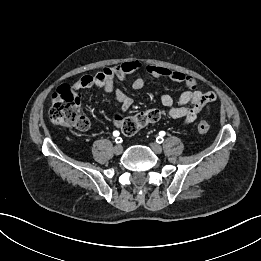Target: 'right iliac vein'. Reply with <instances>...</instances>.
<instances>
[{"label":"right iliac vein","instance_id":"1","mask_svg":"<svg viewBox=\"0 0 261 261\" xmlns=\"http://www.w3.org/2000/svg\"><path fill=\"white\" fill-rule=\"evenodd\" d=\"M113 151H114V153H115L116 155H120V154L123 152V147H122V145H120V144L116 145V146L114 147Z\"/></svg>","mask_w":261,"mask_h":261}]
</instances>
